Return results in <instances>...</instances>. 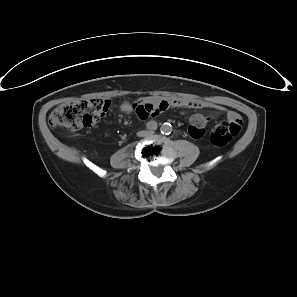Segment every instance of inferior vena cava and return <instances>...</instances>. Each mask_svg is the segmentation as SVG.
Here are the masks:
<instances>
[{
  "label": "inferior vena cava",
  "instance_id": "1",
  "mask_svg": "<svg viewBox=\"0 0 297 297\" xmlns=\"http://www.w3.org/2000/svg\"><path fill=\"white\" fill-rule=\"evenodd\" d=\"M152 133H153V131H139L137 133V135L140 136V137H145V136L151 135Z\"/></svg>",
  "mask_w": 297,
  "mask_h": 297
}]
</instances>
